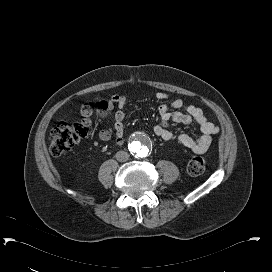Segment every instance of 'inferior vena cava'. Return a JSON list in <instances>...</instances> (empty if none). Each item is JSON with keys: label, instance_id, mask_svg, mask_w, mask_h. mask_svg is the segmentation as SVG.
<instances>
[{"label": "inferior vena cava", "instance_id": "inferior-vena-cava-1", "mask_svg": "<svg viewBox=\"0 0 272 272\" xmlns=\"http://www.w3.org/2000/svg\"><path fill=\"white\" fill-rule=\"evenodd\" d=\"M115 157L119 162H126L129 159V154L125 151H118Z\"/></svg>", "mask_w": 272, "mask_h": 272}]
</instances>
